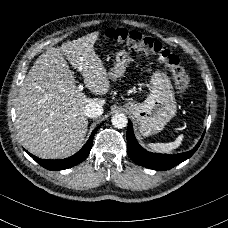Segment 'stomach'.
I'll list each match as a JSON object with an SVG mask.
<instances>
[{"label": "stomach", "mask_w": 228, "mask_h": 228, "mask_svg": "<svg viewBox=\"0 0 228 228\" xmlns=\"http://www.w3.org/2000/svg\"><path fill=\"white\" fill-rule=\"evenodd\" d=\"M132 61L130 53L126 50L117 52L114 67L108 73L109 78L117 80L122 77ZM124 107L135 118L138 130L143 136L161 132L177 112L170 78L164 73H154L150 80V93L145 101L128 102Z\"/></svg>", "instance_id": "obj_1"}]
</instances>
